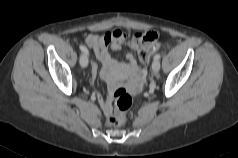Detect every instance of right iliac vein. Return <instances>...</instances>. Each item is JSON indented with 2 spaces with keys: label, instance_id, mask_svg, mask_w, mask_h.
<instances>
[{
  "label": "right iliac vein",
  "instance_id": "1",
  "mask_svg": "<svg viewBox=\"0 0 238 158\" xmlns=\"http://www.w3.org/2000/svg\"><path fill=\"white\" fill-rule=\"evenodd\" d=\"M80 65L83 68H86L88 66V55L86 53H82L80 55Z\"/></svg>",
  "mask_w": 238,
  "mask_h": 158
}]
</instances>
